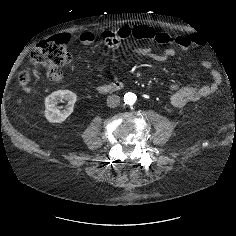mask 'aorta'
<instances>
[{
  "mask_svg": "<svg viewBox=\"0 0 236 236\" xmlns=\"http://www.w3.org/2000/svg\"><path fill=\"white\" fill-rule=\"evenodd\" d=\"M136 100H137V96H136V94H134L132 92H128L124 95V102L127 105L135 104Z\"/></svg>",
  "mask_w": 236,
  "mask_h": 236,
  "instance_id": "762f6f07",
  "label": "aorta"
}]
</instances>
